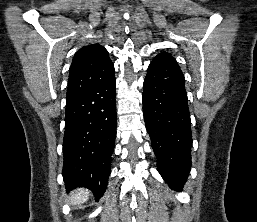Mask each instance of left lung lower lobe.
I'll return each mask as SVG.
<instances>
[{
	"mask_svg": "<svg viewBox=\"0 0 257 222\" xmlns=\"http://www.w3.org/2000/svg\"><path fill=\"white\" fill-rule=\"evenodd\" d=\"M143 114L158 171L180 190L191 169V120L185 80L176 64L154 58L144 81Z\"/></svg>",
	"mask_w": 257,
	"mask_h": 222,
	"instance_id": "left-lung-lower-lobe-1",
	"label": "left lung lower lobe"
}]
</instances>
